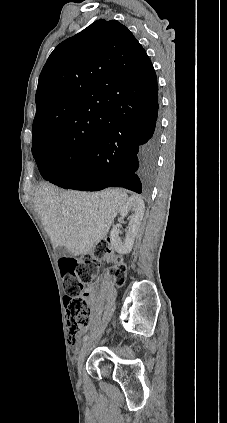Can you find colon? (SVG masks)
I'll return each mask as SVG.
<instances>
[{
    "instance_id": "obj_1",
    "label": "colon",
    "mask_w": 227,
    "mask_h": 423,
    "mask_svg": "<svg viewBox=\"0 0 227 423\" xmlns=\"http://www.w3.org/2000/svg\"><path fill=\"white\" fill-rule=\"evenodd\" d=\"M102 261L112 263L110 274L117 284H123L126 266L120 257L114 256L107 240L99 241L92 254L80 259L59 260L65 291L66 330L70 343H75L90 323V302L93 297L91 282L97 276Z\"/></svg>"
}]
</instances>
